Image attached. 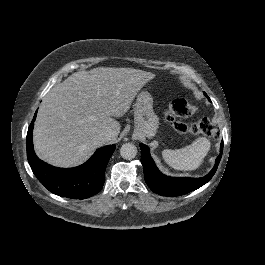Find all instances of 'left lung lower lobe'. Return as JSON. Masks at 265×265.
Instances as JSON below:
<instances>
[{"label":"left lung lower lobe","mask_w":265,"mask_h":265,"mask_svg":"<svg viewBox=\"0 0 265 265\" xmlns=\"http://www.w3.org/2000/svg\"><path fill=\"white\" fill-rule=\"evenodd\" d=\"M205 96L208 98L206 94ZM140 148L141 162L144 170V178L150 189L153 192L162 196H180L198 189L212 178V176L217 170L218 164L222 156L223 141L221 142L220 154L216 159L214 168L202 178L168 177L162 174L156 167L154 161L150 156L149 148L144 144H140Z\"/></svg>","instance_id":"obj_1"}]
</instances>
